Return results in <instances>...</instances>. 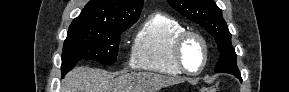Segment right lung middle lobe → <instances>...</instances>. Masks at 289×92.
<instances>
[{"label": "right lung middle lobe", "instance_id": "right-lung-middle-lobe-1", "mask_svg": "<svg viewBox=\"0 0 289 92\" xmlns=\"http://www.w3.org/2000/svg\"><path fill=\"white\" fill-rule=\"evenodd\" d=\"M130 26L70 25L63 46L62 75L81 59L113 64L117 58L121 33Z\"/></svg>", "mask_w": 289, "mask_h": 92}]
</instances>
